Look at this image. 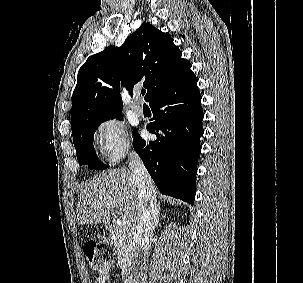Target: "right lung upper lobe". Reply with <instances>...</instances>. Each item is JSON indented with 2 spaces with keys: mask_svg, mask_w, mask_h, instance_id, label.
<instances>
[{
  "mask_svg": "<svg viewBox=\"0 0 303 283\" xmlns=\"http://www.w3.org/2000/svg\"><path fill=\"white\" fill-rule=\"evenodd\" d=\"M190 68L170 34L143 22L120 48L110 46L80 67L72 98V133L90 121L121 117L120 82L130 94L135 84L143 82L145 100L150 102L185 80Z\"/></svg>",
  "mask_w": 303,
  "mask_h": 283,
  "instance_id": "cb5924a9",
  "label": "right lung upper lobe"
}]
</instances>
